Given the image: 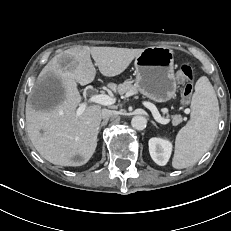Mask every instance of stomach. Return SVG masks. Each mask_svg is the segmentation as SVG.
<instances>
[{"instance_id": "1", "label": "stomach", "mask_w": 231, "mask_h": 231, "mask_svg": "<svg viewBox=\"0 0 231 231\" xmlns=\"http://www.w3.org/2000/svg\"><path fill=\"white\" fill-rule=\"evenodd\" d=\"M135 86L145 97L166 102L175 96L174 53L167 47H148L135 58Z\"/></svg>"}]
</instances>
